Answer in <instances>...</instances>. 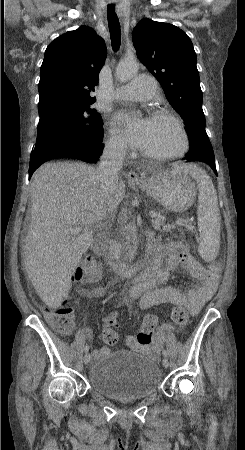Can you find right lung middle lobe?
<instances>
[{
    "mask_svg": "<svg viewBox=\"0 0 245 450\" xmlns=\"http://www.w3.org/2000/svg\"><path fill=\"white\" fill-rule=\"evenodd\" d=\"M38 111V134L32 153L101 142L102 118L90 105L56 103Z\"/></svg>",
    "mask_w": 245,
    "mask_h": 450,
    "instance_id": "1",
    "label": "right lung middle lobe"
}]
</instances>
